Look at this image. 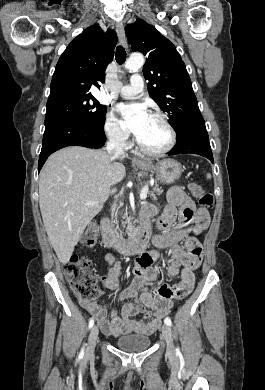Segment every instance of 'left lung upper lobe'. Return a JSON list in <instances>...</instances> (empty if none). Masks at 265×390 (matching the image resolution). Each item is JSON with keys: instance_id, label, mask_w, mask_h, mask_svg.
Returning a JSON list of instances; mask_svg holds the SVG:
<instances>
[{"instance_id": "obj_1", "label": "left lung upper lobe", "mask_w": 265, "mask_h": 390, "mask_svg": "<svg viewBox=\"0 0 265 390\" xmlns=\"http://www.w3.org/2000/svg\"><path fill=\"white\" fill-rule=\"evenodd\" d=\"M133 51L147 55L143 74L150 97L169 116L180 139L201 115L186 66L176 47L155 27L142 19L127 25Z\"/></svg>"}]
</instances>
